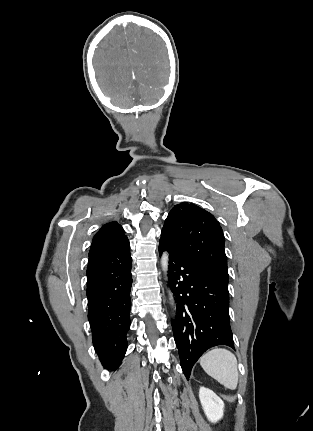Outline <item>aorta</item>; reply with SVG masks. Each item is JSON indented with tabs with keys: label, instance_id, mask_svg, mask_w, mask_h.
<instances>
[{
	"label": "aorta",
	"instance_id": "762f6f07",
	"mask_svg": "<svg viewBox=\"0 0 313 431\" xmlns=\"http://www.w3.org/2000/svg\"><path fill=\"white\" fill-rule=\"evenodd\" d=\"M168 254L165 252L163 253L162 257H161V265H162V269L164 271V273L166 274L168 271ZM169 299L171 301V304L174 306V299H173V295L171 292H169Z\"/></svg>",
	"mask_w": 313,
	"mask_h": 431
}]
</instances>
